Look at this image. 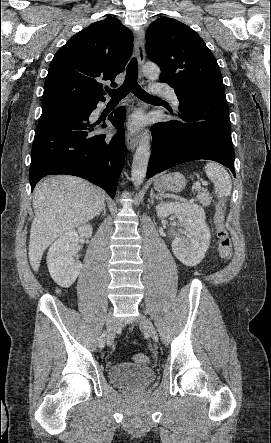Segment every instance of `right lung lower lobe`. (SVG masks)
<instances>
[{
	"mask_svg": "<svg viewBox=\"0 0 271 443\" xmlns=\"http://www.w3.org/2000/svg\"><path fill=\"white\" fill-rule=\"evenodd\" d=\"M97 103L42 112L31 152V190L46 175L67 174L100 186L114 198L125 161V110L119 108L109 116L118 128V134L109 139L94 135L96 123L89 122Z\"/></svg>",
	"mask_w": 271,
	"mask_h": 443,
	"instance_id": "98d812e1",
	"label": "right lung lower lobe"
}]
</instances>
